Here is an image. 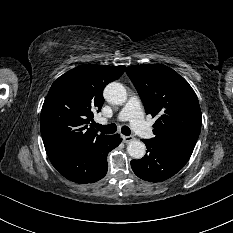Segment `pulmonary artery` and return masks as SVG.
I'll return each instance as SVG.
<instances>
[{
	"label": "pulmonary artery",
	"mask_w": 233,
	"mask_h": 233,
	"mask_svg": "<svg viewBox=\"0 0 233 233\" xmlns=\"http://www.w3.org/2000/svg\"><path fill=\"white\" fill-rule=\"evenodd\" d=\"M118 118L121 121H129L132 128L142 137L149 138L152 136V129L145 122L140 101L136 96H131L127 100ZM97 122L99 124H104L106 123V119L98 118Z\"/></svg>",
	"instance_id": "pulmonary-artery-1"
}]
</instances>
